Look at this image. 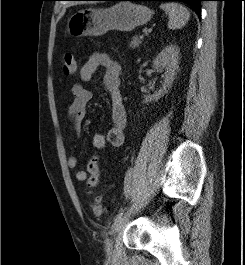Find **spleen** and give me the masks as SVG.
I'll use <instances>...</instances> for the list:
<instances>
[{"mask_svg": "<svg viewBox=\"0 0 245 265\" xmlns=\"http://www.w3.org/2000/svg\"><path fill=\"white\" fill-rule=\"evenodd\" d=\"M160 7L169 16L168 27L170 29L182 28L190 18L189 11L178 3H165L161 4Z\"/></svg>", "mask_w": 245, "mask_h": 265, "instance_id": "spleen-1", "label": "spleen"}]
</instances>
